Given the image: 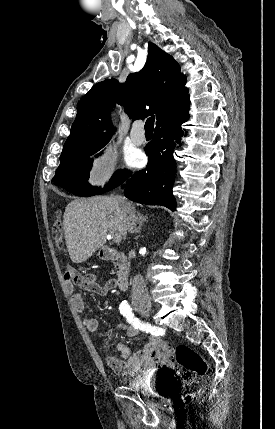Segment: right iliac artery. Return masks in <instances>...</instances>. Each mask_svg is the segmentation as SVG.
<instances>
[{
	"instance_id": "right-iliac-artery-1",
	"label": "right iliac artery",
	"mask_w": 275,
	"mask_h": 429,
	"mask_svg": "<svg viewBox=\"0 0 275 429\" xmlns=\"http://www.w3.org/2000/svg\"><path fill=\"white\" fill-rule=\"evenodd\" d=\"M120 313L127 318V321L136 329H143V324L138 320V318L134 317L132 313V308L130 305L124 301L119 306Z\"/></svg>"
}]
</instances>
